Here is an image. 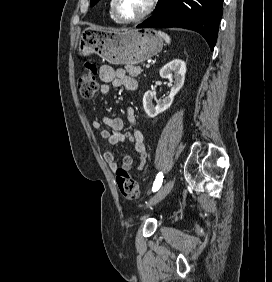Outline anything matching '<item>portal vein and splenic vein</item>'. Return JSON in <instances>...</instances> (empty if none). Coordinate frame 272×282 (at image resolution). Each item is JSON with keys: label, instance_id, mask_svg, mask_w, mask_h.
<instances>
[{"label": "portal vein and splenic vein", "instance_id": "obj_1", "mask_svg": "<svg viewBox=\"0 0 272 282\" xmlns=\"http://www.w3.org/2000/svg\"><path fill=\"white\" fill-rule=\"evenodd\" d=\"M146 68L149 69L150 68V64H146Z\"/></svg>", "mask_w": 272, "mask_h": 282}]
</instances>
